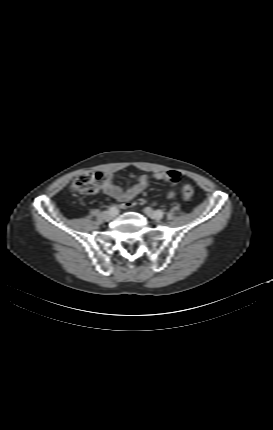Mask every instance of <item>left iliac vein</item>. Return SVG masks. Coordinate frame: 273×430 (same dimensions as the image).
Listing matches in <instances>:
<instances>
[{"instance_id":"left-iliac-vein-1","label":"left iliac vein","mask_w":273,"mask_h":430,"mask_svg":"<svg viewBox=\"0 0 273 430\" xmlns=\"http://www.w3.org/2000/svg\"><path fill=\"white\" fill-rule=\"evenodd\" d=\"M144 212L147 216L154 220H160L162 217L158 214L157 211H153L150 207H146Z\"/></svg>"}]
</instances>
